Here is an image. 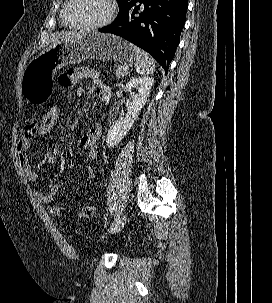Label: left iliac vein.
<instances>
[{"label":"left iliac vein","instance_id":"1","mask_svg":"<svg viewBox=\"0 0 272 303\" xmlns=\"http://www.w3.org/2000/svg\"><path fill=\"white\" fill-rule=\"evenodd\" d=\"M126 215H122L119 217V222L116 223V225H114L113 229L109 230L110 234H115L117 232H119L122 227L124 226L125 222H126Z\"/></svg>","mask_w":272,"mask_h":303}]
</instances>
